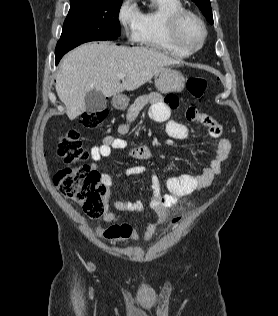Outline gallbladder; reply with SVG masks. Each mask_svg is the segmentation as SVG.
I'll return each mask as SVG.
<instances>
[{"label":"gallbladder","mask_w":278,"mask_h":316,"mask_svg":"<svg viewBox=\"0 0 278 316\" xmlns=\"http://www.w3.org/2000/svg\"><path fill=\"white\" fill-rule=\"evenodd\" d=\"M107 106L106 97L98 90H91L85 95V109L88 113L103 111Z\"/></svg>","instance_id":"gallbladder-1"}]
</instances>
